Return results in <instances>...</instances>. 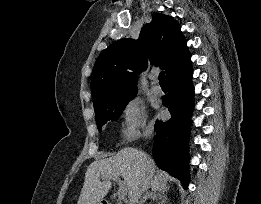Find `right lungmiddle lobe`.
<instances>
[{"instance_id":"right-lung-middle-lobe-1","label":"right lung middle lobe","mask_w":261,"mask_h":204,"mask_svg":"<svg viewBox=\"0 0 261 204\" xmlns=\"http://www.w3.org/2000/svg\"><path fill=\"white\" fill-rule=\"evenodd\" d=\"M136 95V92L129 93L122 96L118 100L106 104H100L94 106L95 120L98 126V130L109 120H117L123 112L125 106L129 100Z\"/></svg>"}]
</instances>
